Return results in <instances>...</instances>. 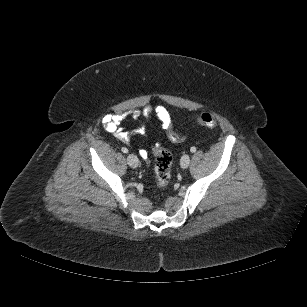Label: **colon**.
<instances>
[{
  "label": "colon",
  "instance_id": "1",
  "mask_svg": "<svg viewBox=\"0 0 307 307\" xmlns=\"http://www.w3.org/2000/svg\"><path fill=\"white\" fill-rule=\"evenodd\" d=\"M198 124L208 128H215L218 121L215 116L209 113H203L198 117ZM167 136L173 142H180L184 139L183 136L178 135L170 123L167 127ZM155 163L154 174L155 180L159 187H165L171 178L172 155L171 153L160 146L154 148Z\"/></svg>",
  "mask_w": 307,
  "mask_h": 307
}]
</instances>
